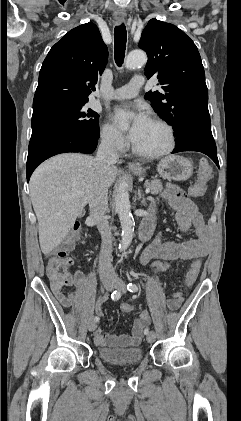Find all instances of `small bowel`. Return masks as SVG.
Returning <instances> with one entry per match:
<instances>
[{
    "instance_id": "small-bowel-1",
    "label": "small bowel",
    "mask_w": 241,
    "mask_h": 421,
    "mask_svg": "<svg viewBox=\"0 0 241 421\" xmlns=\"http://www.w3.org/2000/svg\"><path fill=\"white\" fill-rule=\"evenodd\" d=\"M162 197L169 203L176 213V220L183 232H188L191 228L195 230V238L184 241L174 242L167 239L163 234L158 235L155 240L146 247L142 253V263L147 264L157 259H163L168 262L190 261L205 257L210 249V234L202 215L195 204L187 198L185 193L175 185H167ZM200 263V262H199ZM82 273L77 271L74 276L73 284L80 287L82 284ZM53 293L59 303L70 308L74 302V295L71 292H64L63 287L56 288L52 286ZM106 296H102L100 301H104ZM184 297L181 293H175L167 301L169 309H178ZM148 312H142L134 322L131 334L115 335L105 333L100 328L95 332V342L99 346L114 347H135L143 336V329L149 322Z\"/></svg>"
}]
</instances>
